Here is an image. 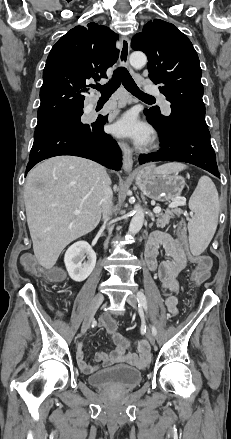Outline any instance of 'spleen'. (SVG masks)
<instances>
[{
  "label": "spleen",
  "instance_id": "1",
  "mask_svg": "<svg viewBox=\"0 0 231 439\" xmlns=\"http://www.w3.org/2000/svg\"><path fill=\"white\" fill-rule=\"evenodd\" d=\"M186 168L180 163H168L157 168L162 173H178ZM194 216L188 223L190 249L200 255L209 245L218 224L219 197L213 181L202 176L189 200Z\"/></svg>",
  "mask_w": 231,
  "mask_h": 439
}]
</instances>
